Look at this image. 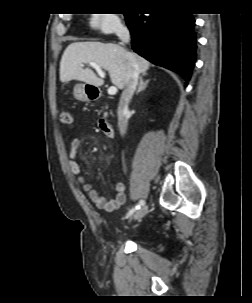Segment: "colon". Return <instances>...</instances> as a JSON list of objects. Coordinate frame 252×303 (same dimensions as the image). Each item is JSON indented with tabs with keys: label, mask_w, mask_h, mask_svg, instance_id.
Wrapping results in <instances>:
<instances>
[{
	"label": "colon",
	"mask_w": 252,
	"mask_h": 303,
	"mask_svg": "<svg viewBox=\"0 0 252 303\" xmlns=\"http://www.w3.org/2000/svg\"><path fill=\"white\" fill-rule=\"evenodd\" d=\"M60 121L62 124H65V125H70L72 124L73 122V117H72V114L70 113V111L68 110H63L61 113H60Z\"/></svg>",
	"instance_id": "1"
}]
</instances>
